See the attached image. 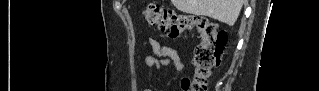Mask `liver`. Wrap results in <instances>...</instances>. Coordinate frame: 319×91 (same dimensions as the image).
Instances as JSON below:
<instances>
[{
    "label": "liver",
    "mask_w": 319,
    "mask_h": 91,
    "mask_svg": "<svg viewBox=\"0 0 319 91\" xmlns=\"http://www.w3.org/2000/svg\"><path fill=\"white\" fill-rule=\"evenodd\" d=\"M180 11L196 16H207L233 26L244 0H172Z\"/></svg>",
    "instance_id": "liver-1"
}]
</instances>
